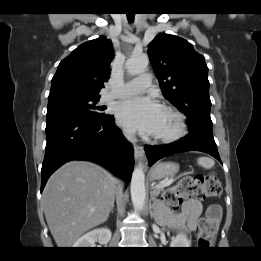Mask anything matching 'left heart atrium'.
Wrapping results in <instances>:
<instances>
[{
  "instance_id": "left-heart-atrium-1",
  "label": "left heart atrium",
  "mask_w": 261,
  "mask_h": 261,
  "mask_svg": "<svg viewBox=\"0 0 261 261\" xmlns=\"http://www.w3.org/2000/svg\"><path fill=\"white\" fill-rule=\"evenodd\" d=\"M165 111L163 106L147 96L122 101L117 107V119L125 129L142 135H156Z\"/></svg>"
}]
</instances>
